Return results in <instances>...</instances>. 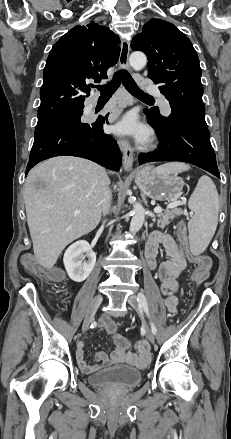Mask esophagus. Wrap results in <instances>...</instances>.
I'll list each match as a JSON object with an SVG mask.
<instances>
[{
	"label": "esophagus",
	"mask_w": 231,
	"mask_h": 439,
	"mask_svg": "<svg viewBox=\"0 0 231 439\" xmlns=\"http://www.w3.org/2000/svg\"><path fill=\"white\" fill-rule=\"evenodd\" d=\"M130 53V43L127 40L122 41L119 65L123 69H129L128 58ZM118 145L123 152V167L126 171H131L133 167L134 150L130 142L126 139H119Z\"/></svg>",
	"instance_id": "obj_1"
}]
</instances>
